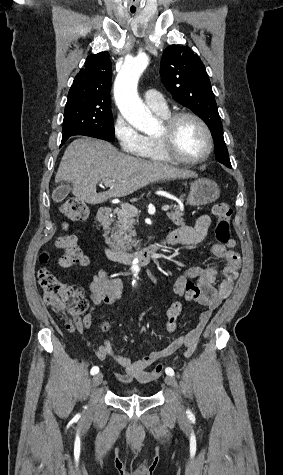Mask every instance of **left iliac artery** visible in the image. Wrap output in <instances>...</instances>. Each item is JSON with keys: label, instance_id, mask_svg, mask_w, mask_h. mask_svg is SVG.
Here are the masks:
<instances>
[{"label": "left iliac artery", "instance_id": "left-iliac-artery-1", "mask_svg": "<svg viewBox=\"0 0 283 475\" xmlns=\"http://www.w3.org/2000/svg\"><path fill=\"white\" fill-rule=\"evenodd\" d=\"M165 372H166V374L169 375V376H174V371H173L172 368H166ZM188 414H189V416L192 415V413H191L189 410H188Z\"/></svg>", "mask_w": 283, "mask_h": 475}]
</instances>
